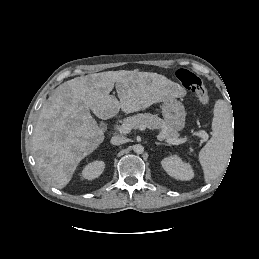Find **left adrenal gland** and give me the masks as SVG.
<instances>
[{
  "mask_svg": "<svg viewBox=\"0 0 259 259\" xmlns=\"http://www.w3.org/2000/svg\"><path fill=\"white\" fill-rule=\"evenodd\" d=\"M156 145H168L166 143L156 142Z\"/></svg>",
  "mask_w": 259,
  "mask_h": 259,
  "instance_id": "a2214340",
  "label": "left adrenal gland"
}]
</instances>
